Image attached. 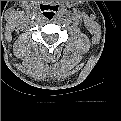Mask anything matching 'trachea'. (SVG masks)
<instances>
[{"instance_id":"1","label":"trachea","mask_w":121,"mask_h":121,"mask_svg":"<svg viewBox=\"0 0 121 121\" xmlns=\"http://www.w3.org/2000/svg\"><path fill=\"white\" fill-rule=\"evenodd\" d=\"M45 17L49 20L53 19L55 17V10L53 9H48L45 13H44Z\"/></svg>"}]
</instances>
